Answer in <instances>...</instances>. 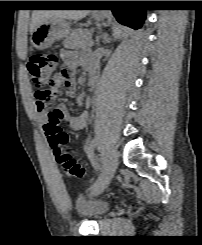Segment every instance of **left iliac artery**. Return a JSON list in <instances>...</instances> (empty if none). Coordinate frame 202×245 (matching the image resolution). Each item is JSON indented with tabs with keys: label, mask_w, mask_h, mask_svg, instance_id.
Listing matches in <instances>:
<instances>
[{
	"label": "left iliac artery",
	"mask_w": 202,
	"mask_h": 245,
	"mask_svg": "<svg viewBox=\"0 0 202 245\" xmlns=\"http://www.w3.org/2000/svg\"><path fill=\"white\" fill-rule=\"evenodd\" d=\"M97 143H98L97 138H94L91 141V143H90V145L88 147V151H87V155L90 158V160L92 161V164L95 167V169H98V165H97V163L95 162V159H94V149L96 148ZM97 187H98V180L94 182V184H93L91 189L94 191V190L97 189Z\"/></svg>",
	"instance_id": "left-iliac-artery-1"
}]
</instances>
